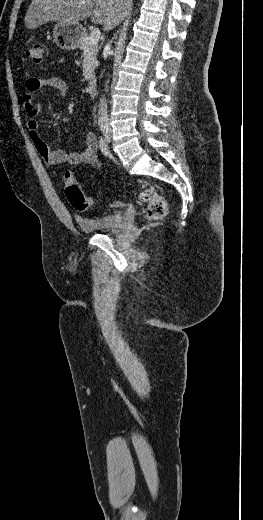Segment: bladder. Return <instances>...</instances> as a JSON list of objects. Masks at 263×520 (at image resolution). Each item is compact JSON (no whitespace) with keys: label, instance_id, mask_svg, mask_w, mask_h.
<instances>
[{"label":"bladder","instance_id":"1","mask_svg":"<svg viewBox=\"0 0 263 520\" xmlns=\"http://www.w3.org/2000/svg\"><path fill=\"white\" fill-rule=\"evenodd\" d=\"M75 222L83 232H110L121 228L123 219L118 214H108L98 217H76Z\"/></svg>","mask_w":263,"mask_h":520}]
</instances>
